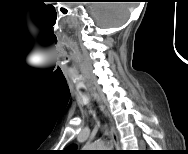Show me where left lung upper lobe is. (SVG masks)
<instances>
[{"label": "left lung upper lobe", "instance_id": "left-lung-upper-lobe-1", "mask_svg": "<svg viewBox=\"0 0 188 154\" xmlns=\"http://www.w3.org/2000/svg\"><path fill=\"white\" fill-rule=\"evenodd\" d=\"M66 151H67L68 153H72V154H76V153L79 152L78 150H76V145H71V146H69V147L66 149Z\"/></svg>", "mask_w": 188, "mask_h": 154}]
</instances>
